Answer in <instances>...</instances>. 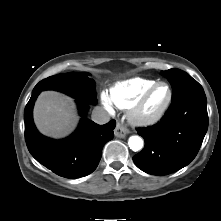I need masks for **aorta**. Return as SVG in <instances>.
Returning a JSON list of instances; mask_svg holds the SVG:
<instances>
[{
    "instance_id": "aorta-1",
    "label": "aorta",
    "mask_w": 221,
    "mask_h": 221,
    "mask_svg": "<svg viewBox=\"0 0 221 221\" xmlns=\"http://www.w3.org/2000/svg\"><path fill=\"white\" fill-rule=\"evenodd\" d=\"M128 145L131 150L136 152L143 148V140L139 136H131L128 140Z\"/></svg>"
}]
</instances>
